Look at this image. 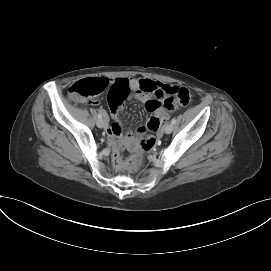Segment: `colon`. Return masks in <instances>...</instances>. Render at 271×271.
Wrapping results in <instances>:
<instances>
[{
    "label": "colon",
    "instance_id": "obj_1",
    "mask_svg": "<svg viewBox=\"0 0 271 271\" xmlns=\"http://www.w3.org/2000/svg\"><path fill=\"white\" fill-rule=\"evenodd\" d=\"M109 82L105 78H91L75 82L69 89L71 99L93 103L95 98L100 95L107 87ZM143 89H147L145 84ZM164 105L168 108L175 105L188 106L194 101V95L184 87L168 86L156 94ZM160 121L152 117L148 122V130L154 132L159 127ZM155 145V138L148 134L140 142L139 148L126 160H122L119 153L113 155V162L119 168L129 170L137 169L142 162V152L152 149Z\"/></svg>",
    "mask_w": 271,
    "mask_h": 271
}]
</instances>
